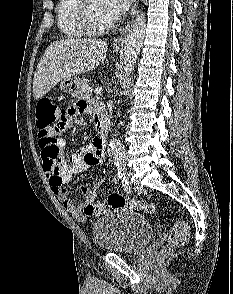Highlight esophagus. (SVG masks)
Returning a JSON list of instances; mask_svg holds the SVG:
<instances>
[{
  "label": "esophagus",
  "instance_id": "esophagus-1",
  "mask_svg": "<svg viewBox=\"0 0 233 294\" xmlns=\"http://www.w3.org/2000/svg\"><path fill=\"white\" fill-rule=\"evenodd\" d=\"M134 8H135V6H134ZM127 30H128V26H126L123 33L113 41V43H112L113 47H121V46H123Z\"/></svg>",
  "mask_w": 233,
  "mask_h": 294
}]
</instances>
